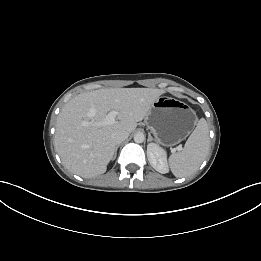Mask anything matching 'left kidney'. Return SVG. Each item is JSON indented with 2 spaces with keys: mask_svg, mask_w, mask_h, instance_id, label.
<instances>
[{
  "mask_svg": "<svg viewBox=\"0 0 261 261\" xmlns=\"http://www.w3.org/2000/svg\"><path fill=\"white\" fill-rule=\"evenodd\" d=\"M147 157L151 166L158 172L165 174L168 172L166 152L156 145L150 143L147 146Z\"/></svg>",
  "mask_w": 261,
  "mask_h": 261,
  "instance_id": "5707ae66",
  "label": "left kidney"
}]
</instances>
